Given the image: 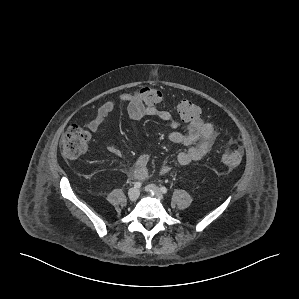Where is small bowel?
Here are the masks:
<instances>
[{
  "mask_svg": "<svg viewBox=\"0 0 299 299\" xmlns=\"http://www.w3.org/2000/svg\"><path fill=\"white\" fill-rule=\"evenodd\" d=\"M119 102L126 105L128 115L134 121H138L145 116H154L167 123L171 129L168 135L170 141L186 147L184 151L177 155V162L181 166H186L203 159L211 151L218 138L213 125L201 117L188 122L186 129L181 130L180 122L169 111L146 105L141 99L139 91L120 94ZM119 102L110 100L100 105L94 118L88 124L90 131L94 133L98 132L104 124L106 117L115 110ZM106 149L114 155H120V150L114 145H106ZM149 160L150 157L147 154H143L137 158L133 170V176L136 179L143 181L148 178ZM169 171V166L160 168L161 174H166Z\"/></svg>",
  "mask_w": 299,
  "mask_h": 299,
  "instance_id": "obj_1",
  "label": "small bowel"
}]
</instances>
